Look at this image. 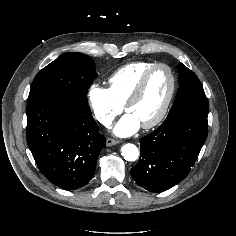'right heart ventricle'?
<instances>
[{
    "instance_id": "obj_1",
    "label": "right heart ventricle",
    "mask_w": 236,
    "mask_h": 236,
    "mask_svg": "<svg viewBox=\"0 0 236 236\" xmlns=\"http://www.w3.org/2000/svg\"><path fill=\"white\" fill-rule=\"evenodd\" d=\"M153 65H155L153 62L139 61L117 69L108 79L109 90L113 97L124 105L142 75Z\"/></svg>"
}]
</instances>
